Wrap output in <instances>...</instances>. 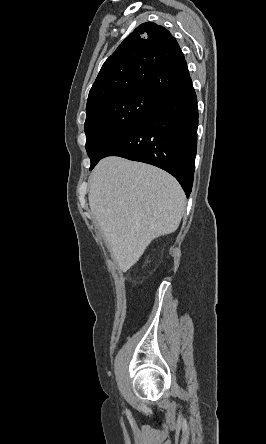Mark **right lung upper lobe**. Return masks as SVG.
<instances>
[{"label":"right lung upper lobe","instance_id":"cb5924a9","mask_svg":"<svg viewBox=\"0 0 266 444\" xmlns=\"http://www.w3.org/2000/svg\"><path fill=\"white\" fill-rule=\"evenodd\" d=\"M191 83L176 39L160 25L143 23L103 64L90 89L86 110L126 92L145 91L162 99Z\"/></svg>","mask_w":266,"mask_h":444}]
</instances>
